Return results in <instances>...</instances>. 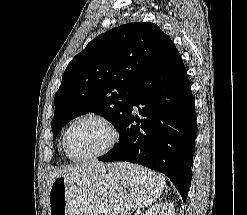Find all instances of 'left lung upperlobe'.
I'll return each mask as SVG.
<instances>
[{"label":"left lung upper lobe","instance_id":"5c2ea615","mask_svg":"<svg viewBox=\"0 0 247 215\" xmlns=\"http://www.w3.org/2000/svg\"><path fill=\"white\" fill-rule=\"evenodd\" d=\"M171 39L147 22L116 27L93 39L67 66L54 98L53 137L87 112L105 116L117 129L143 79L165 54Z\"/></svg>","mask_w":247,"mask_h":215}]
</instances>
